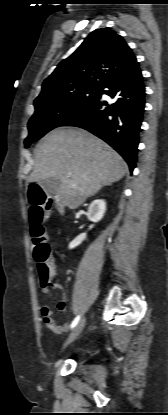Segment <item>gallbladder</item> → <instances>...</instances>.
<instances>
[{
  "instance_id": "obj_1",
  "label": "gallbladder",
  "mask_w": 168,
  "mask_h": 415,
  "mask_svg": "<svg viewBox=\"0 0 168 415\" xmlns=\"http://www.w3.org/2000/svg\"><path fill=\"white\" fill-rule=\"evenodd\" d=\"M39 184L47 195H55L61 186V181L56 177H50L39 181Z\"/></svg>"
}]
</instances>
